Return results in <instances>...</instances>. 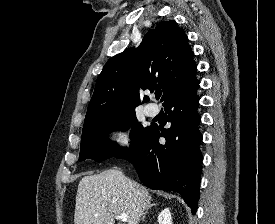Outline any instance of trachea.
<instances>
[{
	"instance_id": "3493384b",
	"label": "trachea",
	"mask_w": 275,
	"mask_h": 224,
	"mask_svg": "<svg viewBox=\"0 0 275 224\" xmlns=\"http://www.w3.org/2000/svg\"><path fill=\"white\" fill-rule=\"evenodd\" d=\"M155 97H156V99H159V98L161 97V92H157V93L155 94Z\"/></svg>"
}]
</instances>
